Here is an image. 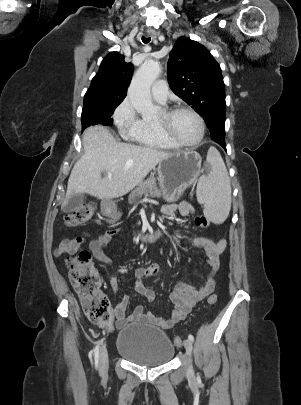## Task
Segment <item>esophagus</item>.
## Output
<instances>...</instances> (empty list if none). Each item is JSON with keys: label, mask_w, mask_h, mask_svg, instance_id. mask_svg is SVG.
Listing matches in <instances>:
<instances>
[{"label": "esophagus", "mask_w": 301, "mask_h": 405, "mask_svg": "<svg viewBox=\"0 0 301 405\" xmlns=\"http://www.w3.org/2000/svg\"><path fill=\"white\" fill-rule=\"evenodd\" d=\"M147 35L152 37V38H155L157 36V33L155 31H150V32H148Z\"/></svg>", "instance_id": "obj_1"}]
</instances>
